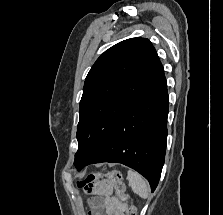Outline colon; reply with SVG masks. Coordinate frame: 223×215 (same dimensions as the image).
Listing matches in <instances>:
<instances>
[{
	"label": "colon",
	"mask_w": 223,
	"mask_h": 215,
	"mask_svg": "<svg viewBox=\"0 0 223 215\" xmlns=\"http://www.w3.org/2000/svg\"><path fill=\"white\" fill-rule=\"evenodd\" d=\"M99 178L109 179L113 184L118 197L121 200H128V197L125 194L124 178L122 173L118 170H112L103 173H90L86 175L82 181L79 182V187L85 189L86 191H89ZM125 213L126 215H137L136 207L131 202H129L128 206L126 207Z\"/></svg>",
	"instance_id": "colon-1"
}]
</instances>
